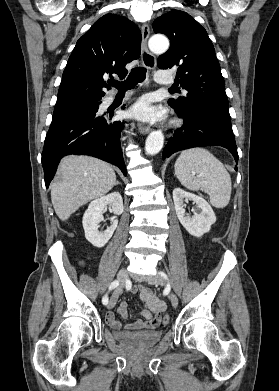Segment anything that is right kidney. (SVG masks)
Wrapping results in <instances>:
<instances>
[{"label":"right kidney","mask_w":279,"mask_h":391,"mask_svg":"<svg viewBox=\"0 0 279 391\" xmlns=\"http://www.w3.org/2000/svg\"><path fill=\"white\" fill-rule=\"evenodd\" d=\"M108 205L116 215H121L124 211L120 193L112 192L93 200L83 215L82 224L85 231V238L95 247H103L112 237L118 226V220L114 219L105 231H99V223L103 221V212Z\"/></svg>","instance_id":"right-kidney-1"}]
</instances>
